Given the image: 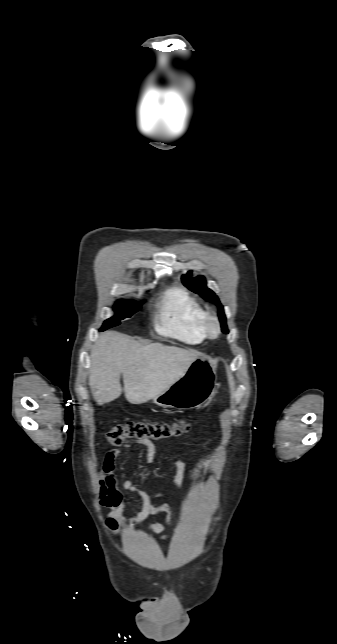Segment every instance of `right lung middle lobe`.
Here are the masks:
<instances>
[{"mask_svg":"<svg viewBox=\"0 0 337 644\" xmlns=\"http://www.w3.org/2000/svg\"><path fill=\"white\" fill-rule=\"evenodd\" d=\"M141 308L140 304L133 303V302H126L123 300H119L116 302L114 306V311L115 315L109 319H107L104 323L102 328L100 329L101 331H104L108 328L117 326L120 324V320H123L124 318H128L131 315H133L136 311H138Z\"/></svg>","mask_w":337,"mask_h":644,"instance_id":"obj_1","label":"right lung middle lobe"}]
</instances>
